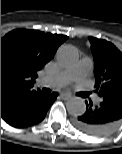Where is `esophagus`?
Returning a JSON list of instances; mask_svg holds the SVG:
<instances>
[{"label": "esophagus", "instance_id": "34e87169", "mask_svg": "<svg viewBox=\"0 0 122 154\" xmlns=\"http://www.w3.org/2000/svg\"><path fill=\"white\" fill-rule=\"evenodd\" d=\"M60 96L64 99V100H68L71 97L70 93L67 92H62L60 93Z\"/></svg>", "mask_w": 122, "mask_h": 154}]
</instances>
